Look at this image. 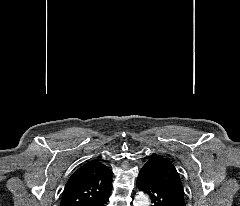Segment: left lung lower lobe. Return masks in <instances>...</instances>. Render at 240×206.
<instances>
[{
  "label": "left lung lower lobe",
  "mask_w": 240,
  "mask_h": 206,
  "mask_svg": "<svg viewBox=\"0 0 240 206\" xmlns=\"http://www.w3.org/2000/svg\"><path fill=\"white\" fill-rule=\"evenodd\" d=\"M136 185L139 190L147 192L152 206H185L166 187L150 163L140 170Z\"/></svg>",
  "instance_id": "1"
}]
</instances>
